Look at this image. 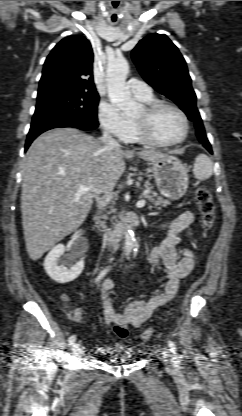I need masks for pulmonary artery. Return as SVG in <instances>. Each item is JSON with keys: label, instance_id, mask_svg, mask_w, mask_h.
Listing matches in <instances>:
<instances>
[{"label": "pulmonary artery", "instance_id": "pulmonary-artery-1", "mask_svg": "<svg viewBox=\"0 0 242 416\" xmlns=\"http://www.w3.org/2000/svg\"><path fill=\"white\" fill-rule=\"evenodd\" d=\"M127 84L130 87L132 94L137 98H145L152 95L150 86L143 81L132 78L128 80Z\"/></svg>", "mask_w": 242, "mask_h": 416}]
</instances>
